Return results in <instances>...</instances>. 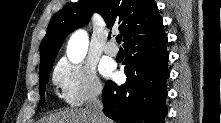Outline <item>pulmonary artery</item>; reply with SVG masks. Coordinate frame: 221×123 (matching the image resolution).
<instances>
[{
  "label": "pulmonary artery",
  "instance_id": "1",
  "mask_svg": "<svg viewBox=\"0 0 221 123\" xmlns=\"http://www.w3.org/2000/svg\"><path fill=\"white\" fill-rule=\"evenodd\" d=\"M104 52L109 56H116L118 54V48L113 42H108L104 46Z\"/></svg>",
  "mask_w": 221,
  "mask_h": 123
}]
</instances>
